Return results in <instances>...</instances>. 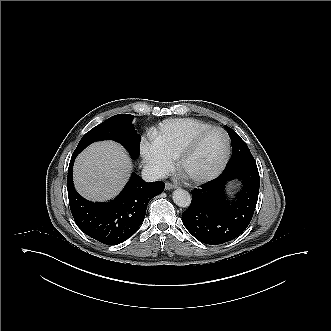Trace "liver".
<instances>
[{
  "label": "liver",
  "instance_id": "obj_1",
  "mask_svg": "<svg viewBox=\"0 0 331 331\" xmlns=\"http://www.w3.org/2000/svg\"><path fill=\"white\" fill-rule=\"evenodd\" d=\"M131 168L127 152L118 143H93L76 158L73 169L75 188L88 200H108L123 188Z\"/></svg>",
  "mask_w": 331,
  "mask_h": 331
}]
</instances>
